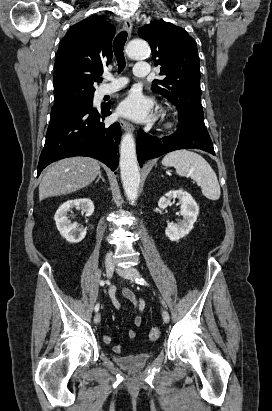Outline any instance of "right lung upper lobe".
Masks as SVG:
<instances>
[{
    "mask_svg": "<svg viewBox=\"0 0 272 411\" xmlns=\"http://www.w3.org/2000/svg\"><path fill=\"white\" fill-rule=\"evenodd\" d=\"M115 31L99 16H90L69 29L54 65L55 103L66 101L77 92L95 91L93 83L112 60Z\"/></svg>",
    "mask_w": 272,
    "mask_h": 411,
    "instance_id": "obj_1",
    "label": "right lung upper lobe"
}]
</instances>
